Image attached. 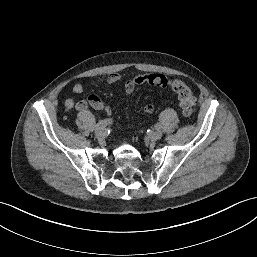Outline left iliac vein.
Instances as JSON below:
<instances>
[{
  "mask_svg": "<svg viewBox=\"0 0 257 257\" xmlns=\"http://www.w3.org/2000/svg\"><path fill=\"white\" fill-rule=\"evenodd\" d=\"M161 137H162V131L159 130V129H157V130H155V131H153V132H151V133L149 134V138H150L152 141H156V140L160 139Z\"/></svg>",
  "mask_w": 257,
  "mask_h": 257,
  "instance_id": "obj_1",
  "label": "left iliac vein"
}]
</instances>
